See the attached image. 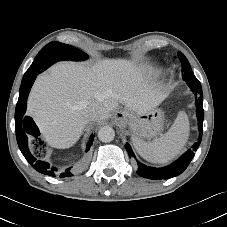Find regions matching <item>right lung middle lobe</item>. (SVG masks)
<instances>
[{"label": "right lung middle lobe", "mask_w": 227, "mask_h": 227, "mask_svg": "<svg viewBox=\"0 0 227 227\" xmlns=\"http://www.w3.org/2000/svg\"><path fill=\"white\" fill-rule=\"evenodd\" d=\"M49 55H52V57H57L58 60H85L88 57L86 53L68 44H63L56 41L50 42L38 53L34 62L26 71L23 80L30 77L38 69L44 67L50 61Z\"/></svg>", "instance_id": "obj_1"}]
</instances>
